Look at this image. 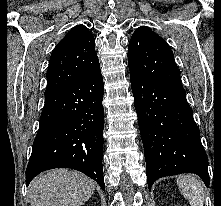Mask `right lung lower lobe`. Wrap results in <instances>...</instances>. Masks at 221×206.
Masks as SVG:
<instances>
[{"label": "right lung lower lobe", "instance_id": "obj_1", "mask_svg": "<svg viewBox=\"0 0 221 206\" xmlns=\"http://www.w3.org/2000/svg\"><path fill=\"white\" fill-rule=\"evenodd\" d=\"M103 78L100 67L85 77L45 94V105L26 169V184L52 168H71L105 190L102 148Z\"/></svg>", "mask_w": 221, "mask_h": 206}]
</instances>
